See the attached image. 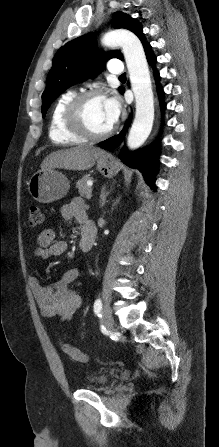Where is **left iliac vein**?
Returning a JSON list of instances; mask_svg holds the SVG:
<instances>
[{"mask_svg":"<svg viewBox=\"0 0 219 447\" xmlns=\"http://www.w3.org/2000/svg\"><path fill=\"white\" fill-rule=\"evenodd\" d=\"M102 320L108 331L114 330V318L109 306H104L102 310Z\"/></svg>","mask_w":219,"mask_h":447,"instance_id":"left-iliac-vein-1","label":"left iliac vein"}]
</instances>
